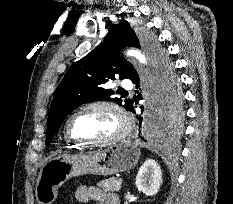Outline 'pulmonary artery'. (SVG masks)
<instances>
[{"mask_svg":"<svg viewBox=\"0 0 233 204\" xmlns=\"http://www.w3.org/2000/svg\"><path fill=\"white\" fill-rule=\"evenodd\" d=\"M121 85L123 88L125 89H131L132 88V82L129 80V79H124L122 82H121Z\"/></svg>","mask_w":233,"mask_h":204,"instance_id":"obj_1","label":"pulmonary artery"}]
</instances>
